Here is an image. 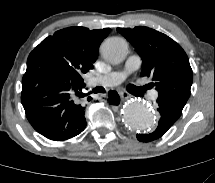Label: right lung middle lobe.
Segmentation results:
<instances>
[{
    "mask_svg": "<svg viewBox=\"0 0 215 183\" xmlns=\"http://www.w3.org/2000/svg\"><path fill=\"white\" fill-rule=\"evenodd\" d=\"M64 57V67L70 73V75L80 81L84 82L82 75L87 73L93 68V63L91 64L86 60L84 55L80 52L66 51L62 53Z\"/></svg>",
    "mask_w": 215,
    "mask_h": 183,
    "instance_id": "right-lung-middle-lobe-1",
    "label": "right lung middle lobe"
}]
</instances>
